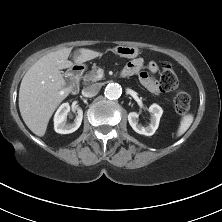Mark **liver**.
Returning <instances> with one entry per match:
<instances>
[{
    "instance_id": "6515ba94",
    "label": "liver",
    "mask_w": 222,
    "mask_h": 222,
    "mask_svg": "<svg viewBox=\"0 0 222 222\" xmlns=\"http://www.w3.org/2000/svg\"><path fill=\"white\" fill-rule=\"evenodd\" d=\"M71 48L50 52L36 61L24 75L19 89V110L27 127L37 136H44L48 122L58 105L71 93L60 70L70 68ZM90 49H79L74 61L82 64L101 56Z\"/></svg>"
}]
</instances>
